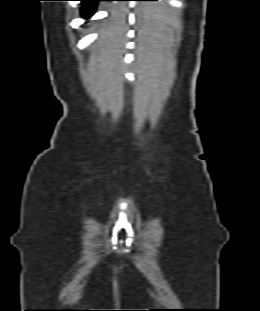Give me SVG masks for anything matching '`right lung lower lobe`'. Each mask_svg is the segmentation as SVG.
<instances>
[{
  "instance_id": "1",
  "label": "right lung lower lobe",
  "mask_w": 260,
  "mask_h": 311,
  "mask_svg": "<svg viewBox=\"0 0 260 311\" xmlns=\"http://www.w3.org/2000/svg\"><path fill=\"white\" fill-rule=\"evenodd\" d=\"M83 3L82 14L85 17L90 16L95 10L96 4L101 0H80Z\"/></svg>"
}]
</instances>
